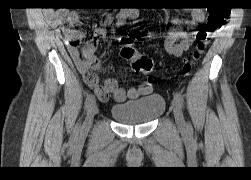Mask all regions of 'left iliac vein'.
<instances>
[{"mask_svg": "<svg viewBox=\"0 0 251 180\" xmlns=\"http://www.w3.org/2000/svg\"><path fill=\"white\" fill-rule=\"evenodd\" d=\"M172 109H173V113H174V118H175V122L177 124V127L180 130H185L186 129V123L184 120V116L181 110L180 105L178 104L177 101H173L172 102Z\"/></svg>", "mask_w": 251, "mask_h": 180, "instance_id": "left-iliac-vein-1", "label": "left iliac vein"}]
</instances>
